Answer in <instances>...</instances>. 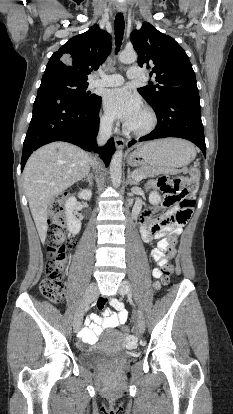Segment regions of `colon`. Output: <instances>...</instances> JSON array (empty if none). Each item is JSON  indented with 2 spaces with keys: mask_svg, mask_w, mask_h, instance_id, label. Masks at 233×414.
Wrapping results in <instances>:
<instances>
[{
  "mask_svg": "<svg viewBox=\"0 0 233 414\" xmlns=\"http://www.w3.org/2000/svg\"><path fill=\"white\" fill-rule=\"evenodd\" d=\"M200 172L198 168L192 167L190 177L183 180L178 177L161 176L156 182L158 187L165 195L163 204L165 206L178 205L175 216L186 222L192 214L195 205V194L198 188ZM50 221L46 233V250L48 263L46 266V276L40 283L41 293L54 302H59L64 298V278L66 275V261L71 241L66 238L64 232V213L63 201L61 198L55 199L49 206ZM176 238L170 237L164 254L172 257L175 253ZM158 255L155 252V256ZM173 274L172 266H166L163 272L162 283L167 284ZM161 284L154 283V287L159 289ZM123 332L129 335V327H124Z\"/></svg>",
  "mask_w": 233,
  "mask_h": 414,
  "instance_id": "5ec220e1",
  "label": "colon"
}]
</instances>
